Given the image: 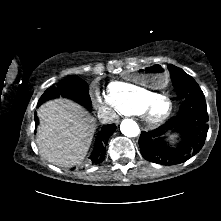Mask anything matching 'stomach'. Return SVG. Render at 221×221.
Instances as JSON below:
<instances>
[{
    "label": "stomach",
    "mask_w": 221,
    "mask_h": 221,
    "mask_svg": "<svg viewBox=\"0 0 221 221\" xmlns=\"http://www.w3.org/2000/svg\"><path fill=\"white\" fill-rule=\"evenodd\" d=\"M127 79L132 84L160 88L167 83L168 74L161 65L150 64L145 68H130L127 72Z\"/></svg>",
    "instance_id": "0dacf381"
}]
</instances>
